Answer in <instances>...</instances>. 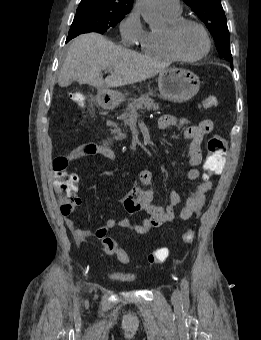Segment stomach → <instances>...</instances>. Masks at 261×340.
<instances>
[{
    "label": "stomach",
    "instance_id": "1",
    "mask_svg": "<svg viewBox=\"0 0 261 340\" xmlns=\"http://www.w3.org/2000/svg\"><path fill=\"white\" fill-rule=\"evenodd\" d=\"M158 88L160 97L175 103L192 99L200 89L199 77L193 72L181 68H167L159 73ZM127 93L110 89H101L98 102L105 109L117 107L127 99Z\"/></svg>",
    "mask_w": 261,
    "mask_h": 340
}]
</instances>
